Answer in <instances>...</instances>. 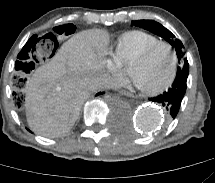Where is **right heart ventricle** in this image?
Wrapping results in <instances>:
<instances>
[{
	"mask_svg": "<svg viewBox=\"0 0 215 183\" xmlns=\"http://www.w3.org/2000/svg\"><path fill=\"white\" fill-rule=\"evenodd\" d=\"M159 41L160 39L152 33L143 30H130L118 38L114 55L121 63L131 64L141 51Z\"/></svg>",
	"mask_w": 215,
	"mask_h": 183,
	"instance_id": "e07e8e85",
	"label": "right heart ventricle"
}]
</instances>
